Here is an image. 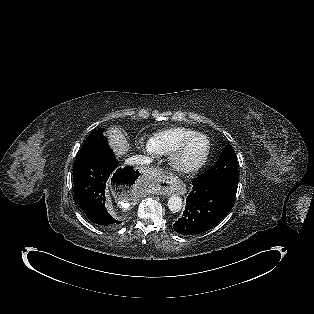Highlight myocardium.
Instances as JSON below:
<instances>
[{
	"instance_id": "myocardium-1",
	"label": "myocardium",
	"mask_w": 314,
	"mask_h": 314,
	"mask_svg": "<svg viewBox=\"0 0 314 314\" xmlns=\"http://www.w3.org/2000/svg\"><path fill=\"white\" fill-rule=\"evenodd\" d=\"M197 139H203L205 142V150L201 156L196 159L188 158V150L190 145ZM211 152V142L203 133H195L186 138L180 147L171 154L170 165L181 173H194L200 170L208 161Z\"/></svg>"
}]
</instances>
